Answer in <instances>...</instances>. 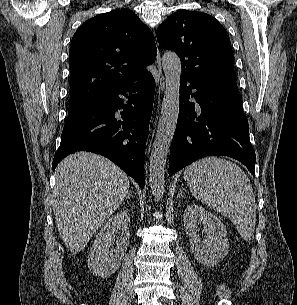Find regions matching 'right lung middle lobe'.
Returning <instances> with one entry per match:
<instances>
[{
	"label": "right lung middle lobe",
	"instance_id": "1",
	"mask_svg": "<svg viewBox=\"0 0 297 305\" xmlns=\"http://www.w3.org/2000/svg\"><path fill=\"white\" fill-rule=\"evenodd\" d=\"M94 99H89V100H84V101H80V102H76V103H71L70 107L68 109V114L74 113L77 110L83 108L87 104L91 103Z\"/></svg>",
	"mask_w": 297,
	"mask_h": 305
}]
</instances>
